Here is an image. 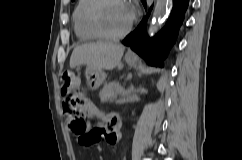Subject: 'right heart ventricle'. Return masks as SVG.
<instances>
[{
	"label": "right heart ventricle",
	"mask_w": 242,
	"mask_h": 160,
	"mask_svg": "<svg viewBox=\"0 0 242 160\" xmlns=\"http://www.w3.org/2000/svg\"><path fill=\"white\" fill-rule=\"evenodd\" d=\"M94 0H78L72 14L73 28L80 41H92L99 37L87 23V12Z\"/></svg>",
	"instance_id": "e07e8e85"
}]
</instances>
